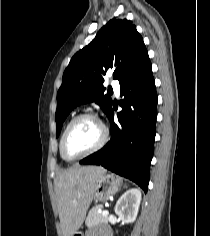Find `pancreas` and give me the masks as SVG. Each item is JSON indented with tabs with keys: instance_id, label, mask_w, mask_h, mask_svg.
<instances>
[{
	"instance_id": "obj_1",
	"label": "pancreas",
	"mask_w": 210,
	"mask_h": 236,
	"mask_svg": "<svg viewBox=\"0 0 210 236\" xmlns=\"http://www.w3.org/2000/svg\"><path fill=\"white\" fill-rule=\"evenodd\" d=\"M101 208H103V205L99 204L92 207V209L89 211L85 222L87 227H93L100 223L108 222L107 216H103L102 213L98 212V210Z\"/></svg>"
}]
</instances>
